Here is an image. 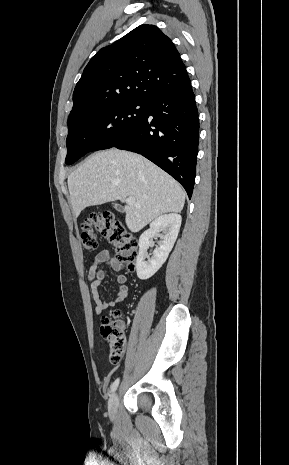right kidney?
Listing matches in <instances>:
<instances>
[{
  "mask_svg": "<svg viewBox=\"0 0 289 465\" xmlns=\"http://www.w3.org/2000/svg\"><path fill=\"white\" fill-rule=\"evenodd\" d=\"M181 221V216L176 213L160 215L150 223V228L141 234L136 259V272L139 279L146 280L152 277L167 260L177 239ZM160 231H163V234H159ZM154 236L160 237L159 246L155 248L152 258L145 261L147 249Z\"/></svg>",
  "mask_w": 289,
  "mask_h": 465,
  "instance_id": "obj_1",
  "label": "right kidney"
}]
</instances>
